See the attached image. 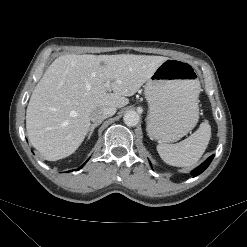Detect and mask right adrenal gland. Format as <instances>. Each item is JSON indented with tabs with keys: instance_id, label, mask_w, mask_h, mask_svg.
I'll use <instances>...</instances> for the list:
<instances>
[{
	"instance_id": "1",
	"label": "right adrenal gland",
	"mask_w": 247,
	"mask_h": 247,
	"mask_svg": "<svg viewBox=\"0 0 247 247\" xmlns=\"http://www.w3.org/2000/svg\"><path fill=\"white\" fill-rule=\"evenodd\" d=\"M98 125H100V123L91 124V126H90V128H89V134H88L87 139H90L91 135H92L93 132H94L95 127H97Z\"/></svg>"
}]
</instances>
